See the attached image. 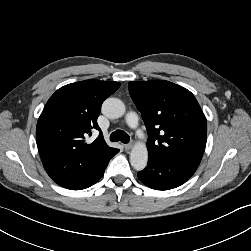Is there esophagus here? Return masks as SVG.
<instances>
[{
    "label": "esophagus",
    "mask_w": 251,
    "mask_h": 251,
    "mask_svg": "<svg viewBox=\"0 0 251 251\" xmlns=\"http://www.w3.org/2000/svg\"><path fill=\"white\" fill-rule=\"evenodd\" d=\"M132 147H133V144H131V143L124 145L125 150H130Z\"/></svg>",
    "instance_id": "esophagus-1"
}]
</instances>
